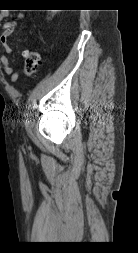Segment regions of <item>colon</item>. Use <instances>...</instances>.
I'll return each mask as SVG.
<instances>
[{"mask_svg": "<svg viewBox=\"0 0 138 253\" xmlns=\"http://www.w3.org/2000/svg\"><path fill=\"white\" fill-rule=\"evenodd\" d=\"M40 65L41 55L36 51H26L25 64L23 67L24 75L28 78L34 77Z\"/></svg>", "mask_w": 138, "mask_h": 253, "instance_id": "colon-1", "label": "colon"}]
</instances>
